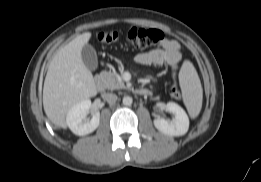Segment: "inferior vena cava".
<instances>
[{
	"label": "inferior vena cava",
	"mask_w": 261,
	"mask_h": 182,
	"mask_svg": "<svg viewBox=\"0 0 261 182\" xmlns=\"http://www.w3.org/2000/svg\"><path fill=\"white\" fill-rule=\"evenodd\" d=\"M102 97L109 104H114L117 101V99H118L117 95H115L113 93H105V94H103Z\"/></svg>",
	"instance_id": "obj_1"
}]
</instances>
